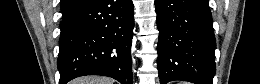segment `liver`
<instances>
[{"label":"liver","instance_id":"6515ba94","mask_svg":"<svg viewBox=\"0 0 260 84\" xmlns=\"http://www.w3.org/2000/svg\"><path fill=\"white\" fill-rule=\"evenodd\" d=\"M114 80L109 77L86 76L73 81V84H113Z\"/></svg>","mask_w":260,"mask_h":84}]
</instances>
